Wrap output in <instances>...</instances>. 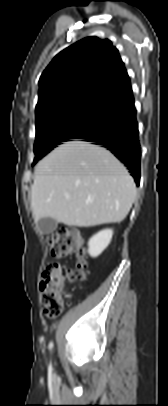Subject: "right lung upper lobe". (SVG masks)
I'll return each instance as SVG.
<instances>
[{
    "label": "right lung upper lobe",
    "mask_w": 168,
    "mask_h": 406,
    "mask_svg": "<svg viewBox=\"0 0 168 406\" xmlns=\"http://www.w3.org/2000/svg\"><path fill=\"white\" fill-rule=\"evenodd\" d=\"M129 88L118 50L107 39L87 37L56 55L42 73L36 121L80 101H108Z\"/></svg>",
    "instance_id": "cb5924a9"
}]
</instances>
